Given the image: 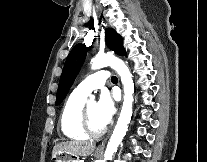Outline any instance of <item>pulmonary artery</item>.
Wrapping results in <instances>:
<instances>
[{"label": "pulmonary artery", "mask_w": 207, "mask_h": 162, "mask_svg": "<svg viewBox=\"0 0 207 162\" xmlns=\"http://www.w3.org/2000/svg\"><path fill=\"white\" fill-rule=\"evenodd\" d=\"M109 76L110 73L108 71L99 70L79 83V85L75 88V91L87 96L94 90L102 88Z\"/></svg>", "instance_id": "obj_1"}]
</instances>
